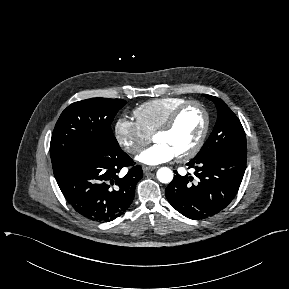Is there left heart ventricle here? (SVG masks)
Here are the masks:
<instances>
[{
    "label": "left heart ventricle",
    "mask_w": 289,
    "mask_h": 289,
    "mask_svg": "<svg viewBox=\"0 0 289 289\" xmlns=\"http://www.w3.org/2000/svg\"><path fill=\"white\" fill-rule=\"evenodd\" d=\"M203 124V113L198 107L191 106L181 114L172 130L156 135L154 141L170 147L176 156L181 155L195 144Z\"/></svg>",
    "instance_id": "b2bd125f"
}]
</instances>
